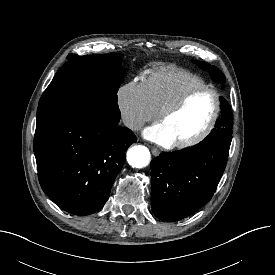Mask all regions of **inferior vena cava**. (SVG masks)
Instances as JSON below:
<instances>
[{
	"mask_svg": "<svg viewBox=\"0 0 275 275\" xmlns=\"http://www.w3.org/2000/svg\"><path fill=\"white\" fill-rule=\"evenodd\" d=\"M122 120H123L124 125L130 129L136 130L143 126V123L140 120H138L134 117H131V116H124L122 118Z\"/></svg>",
	"mask_w": 275,
	"mask_h": 275,
	"instance_id": "inferior-vena-cava-1",
	"label": "inferior vena cava"
}]
</instances>
